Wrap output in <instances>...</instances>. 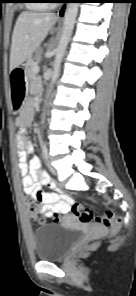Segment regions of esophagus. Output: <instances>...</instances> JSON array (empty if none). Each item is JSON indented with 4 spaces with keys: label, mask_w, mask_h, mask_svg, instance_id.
Returning a JSON list of instances; mask_svg holds the SVG:
<instances>
[{
    "label": "esophagus",
    "mask_w": 136,
    "mask_h": 296,
    "mask_svg": "<svg viewBox=\"0 0 136 296\" xmlns=\"http://www.w3.org/2000/svg\"><path fill=\"white\" fill-rule=\"evenodd\" d=\"M66 10H67V4H63L59 10H58V13H57V16H58V19L59 20H63L64 17H65V14H66Z\"/></svg>",
    "instance_id": "1"
}]
</instances>
